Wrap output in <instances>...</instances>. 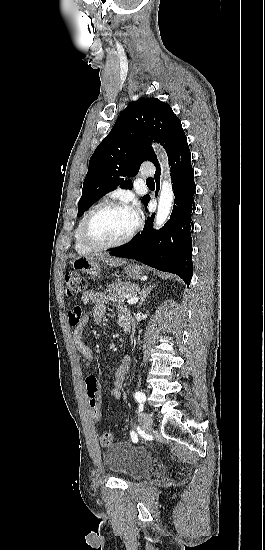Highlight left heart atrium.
Listing matches in <instances>:
<instances>
[{"mask_svg":"<svg viewBox=\"0 0 265 550\" xmlns=\"http://www.w3.org/2000/svg\"><path fill=\"white\" fill-rule=\"evenodd\" d=\"M130 210H131L133 216L135 217L136 221H138L139 216H140V211H139L138 206L134 205V206L130 207Z\"/></svg>","mask_w":265,"mask_h":550,"instance_id":"1","label":"left heart atrium"}]
</instances>
